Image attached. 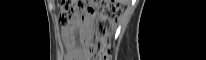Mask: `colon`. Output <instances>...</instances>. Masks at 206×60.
<instances>
[{"instance_id":"colon-1","label":"colon","mask_w":206,"mask_h":60,"mask_svg":"<svg viewBox=\"0 0 206 60\" xmlns=\"http://www.w3.org/2000/svg\"><path fill=\"white\" fill-rule=\"evenodd\" d=\"M59 20L62 24L73 23L84 10V4L78 0L60 1ZM87 13L98 14L95 35L86 41L82 50L88 60H109L110 39L122 12V7L116 0H99L94 7H88Z\"/></svg>"}]
</instances>
